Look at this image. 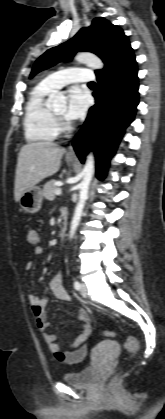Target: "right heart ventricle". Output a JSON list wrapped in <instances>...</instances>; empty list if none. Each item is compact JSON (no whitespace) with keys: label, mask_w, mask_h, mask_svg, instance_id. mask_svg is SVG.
<instances>
[{"label":"right heart ventricle","mask_w":165,"mask_h":419,"mask_svg":"<svg viewBox=\"0 0 165 419\" xmlns=\"http://www.w3.org/2000/svg\"><path fill=\"white\" fill-rule=\"evenodd\" d=\"M52 91L40 82L29 94L24 115V131L28 141L48 142L58 136L57 121L47 104V97Z\"/></svg>","instance_id":"1"}]
</instances>
